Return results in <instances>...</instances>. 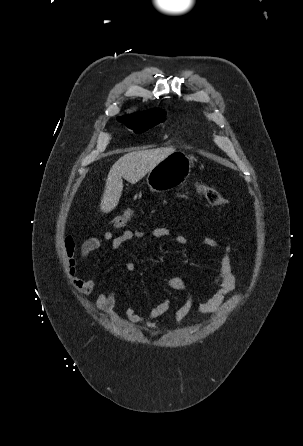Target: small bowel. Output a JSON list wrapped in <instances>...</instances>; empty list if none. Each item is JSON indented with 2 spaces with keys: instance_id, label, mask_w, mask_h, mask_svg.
<instances>
[{
  "instance_id": "1",
  "label": "small bowel",
  "mask_w": 303,
  "mask_h": 446,
  "mask_svg": "<svg viewBox=\"0 0 303 446\" xmlns=\"http://www.w3.org/2000/svg\"><path fill=\"white\" fill-rule=\"evenodd\" d=\"M170 237H172L173 242L177 246H184L188 243L186 236L181 234L174 235L168 227H155L149 230L128 229L119 236H114L111 232H106L100 237L86 239L80 247V254L81 258L86 260L93 252L100 249L104 241L110 242L112 248L118 250L124 243L131 240L145 238L164 239ZM203 243L219 254V273L214 281L208 284V287H217L218 290L209 300L199 305L198 313L214 318L229 310L238 301L237 295L228 297L235 288L236 278L232 272L231 248L229 246H221L210 237H205ZM63 247L66 270L72 285L83 294H91L95 289V281L93 279H82L76 275V244L72 236H67L64 239ZM125 268L129 272L134 271L136 268L135 262L133 260L126 261ZM162 285L167 289L181 291L185 294V302L176 310L174 320L178 325H186L189 322L187 315L193 306V295L185 278L183 276L166 278L163 280ZM115 305L116 297L112 291H102L95 301V308L97 310L103 312L115 323H121L123 318L116 312ZM169 308L170 300L168 298H165L153 307L146 315L138 314L132 306H129L125 310V320L131 324H144L147 328L156 330L157 327L153 323V320L162 316Z\"/></svg>"
}]
</instances>
